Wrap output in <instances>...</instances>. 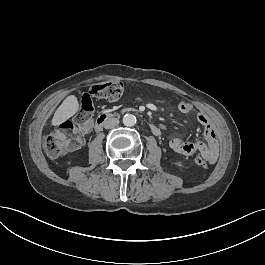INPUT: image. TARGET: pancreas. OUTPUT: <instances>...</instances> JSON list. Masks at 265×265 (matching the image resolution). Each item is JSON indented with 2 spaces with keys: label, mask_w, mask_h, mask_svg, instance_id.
Wrapping results in <instances>:
<instances>
[{
  "label": "pancreas",
  "mask_w": 265,
  "mask_h": 265,
  "mask_svg": "<svg viewBox=\"0 0 265 265\" xmlns=\"http://www.w3.org/2000/svg\"><path fill=\"white\" fill-rule=\"evenodd\" d=\"M127 110H129V111H130V110H133V109L127 108Z\"/></svg>",
  "instance_id": "cf45deb5"
}]
</instances>
